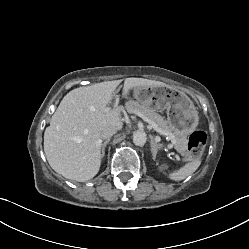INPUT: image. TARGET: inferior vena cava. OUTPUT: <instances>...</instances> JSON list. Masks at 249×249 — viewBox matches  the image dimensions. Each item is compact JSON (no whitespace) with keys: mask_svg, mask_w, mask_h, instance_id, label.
<instances>
[{"mask_svg":"<svg viewBox=\"0 0 249 249\" xmlns=\"http://www.w3.org/2000/svg\"><path fill=\"white\" fill-rule=\"evenodd\" d=\"M117 127L112 126V125H107L104 126L100 132V138L105 140V139H110L114 134L117 132Z\"/></svg>","mask_w":249,"mask_h":249,"instance_id":"inferior-vena-cava-1","label":"inferior vena cava"}]
</instances>
